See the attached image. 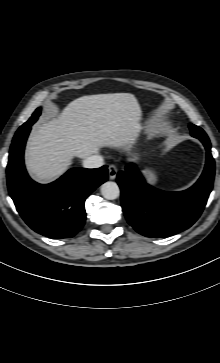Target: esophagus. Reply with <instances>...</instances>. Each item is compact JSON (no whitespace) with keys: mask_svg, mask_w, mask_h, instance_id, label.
<instances>
[{"mask_svg":"<svg viewBox=\"0 0 220 363\" xmlns=\"http://www.w3.org/2000/svg\"><path fill=\"white\" fill-rule=\"evenodd\" d=\"M109 179L114 180L117 176V168L115 165H109L108 167Z\"/></svg>","mask_w":220,"mask_h":363,"instance_id":"34e87169","label":"esophagus"}]
</instances>
